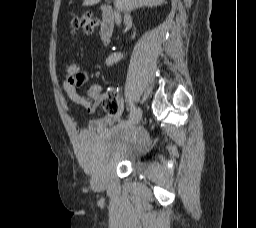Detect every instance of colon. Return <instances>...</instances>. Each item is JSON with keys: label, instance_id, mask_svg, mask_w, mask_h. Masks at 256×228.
<instances>
[{"label": "colon", "instance_id": "5ec220e1", "mask_svg": "<svg viewBox=\"0 0 256 228\" xmlns=\"http://www.w3.org/2000/svg\"><path fill=\"white\" fill-rule=\"evenodd\" d=\"M97 23V20L90 13H84L72 18L70 28L72 32L82 28L86 33L90 34L95 30ZM63 71L66 76H75L78 74V67L75 64H66ZM102 105L109 115H115L119 110L117 93L114 90H109L103 96Z\"/></svg>", "mask_w": 256, "mask_h": 228}]
</instances>
